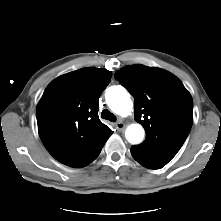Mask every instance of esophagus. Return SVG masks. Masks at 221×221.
<instances>
[{
  "label": "esophagus",
  "mask_w": 221,
  "mask_h": 221,
  "mask_svg": "<svg viewBox=\"0 0 221 221\" xmlns=\"http://www.w3.org/2000/svg\"><path fill=\"white\" fill-rule=\"evenodd\" d=\"M115 128L118 130V131H121L125 128V124L122 122V121H118L114 124Z\"/></svg>",
  "instance_id": "obj_1"
}]
</instances>
